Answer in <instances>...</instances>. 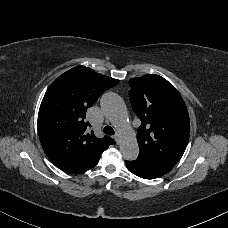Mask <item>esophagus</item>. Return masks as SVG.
I'll use <instances>...</instances> for the list:
<instances>
[{"mask_svg":"<svg viewBox=\"0 0 228 228\" xmlns=\"http://www.w3.org/2000/svg\"><path fill=\"white\" fill-rule=\"evenodd\" d=\"M115 140L117 141V143L119 144V140H120V135H119V133L117 132L116 134H115Z\"/></svg>","mask_w":228,"mask_h":228,"instance_id":"1","label":"esophagus"}]
</instances>
